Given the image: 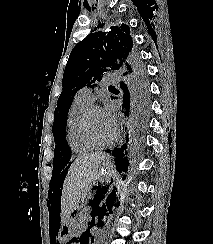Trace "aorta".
I'll return each instance as SVG.
<instances>
[{
    "label": "aorta",
    "mask_w": 213,
    "mask_h": 244,
    "mask_svg": "<svg viewBox=\"0 0 213 244\" xmlns=\"http://www.w3.org/2000/svg\"><path fill=\"white\" fill-rule=\"evenodd\" d=\"M122 123L125 127H128V121H127V118L124 117V115H123ZM125 137H126V131L124 130L122 136L120 137V139L118 141V148H121L124 145V143L126 142Z\"/></svg>",
    "instance_id": "1"
}]
</instances>
